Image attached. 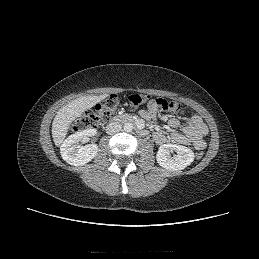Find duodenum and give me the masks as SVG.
Wrapping results in <instances>:
<instances>
[{
  "label": "duodenum",
  "instance_id": "410a0bca",
  "mask_svg": "<svg viewBox=\"0 0 259 259\" xmlns=\"http://www.w3.org/2000/svg\"><path fill=\"white\" fill-rule=\"evenodd\" d=\"M118 121H123V122H128V123H135L137 126V132L141 135V136H146L147 135V130L144 129V127L137 122L132 116L130 115H120V116H114L112 118H110L106 125L110 126L111 124L118 122Z\"/></svg>",
  "mask_w": 259,
  "mask_h": 259
}]
</instances>
